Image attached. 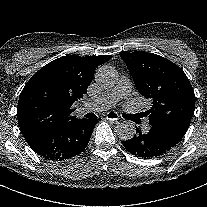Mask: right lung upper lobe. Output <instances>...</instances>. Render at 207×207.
Masks as SVG:
<instances>
[{"instance_id":"cb5924a9","label":"right lung upper lobe","mask_w":207,"mask_h":207,"mask_svg":"<svg viewBox=\"0 0 207 207\" xmlns=\"http://www.w3.org/2000/svg\"><path fill=\"white\" fill-rule=\"evenodd\" d=\"M112 56H64L36 72L23 88L17 106L20 130L28 144L69 122L73 103L87 92L97 66Z\"/></svg>"}]
</instances>
